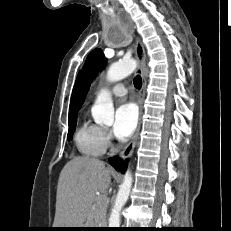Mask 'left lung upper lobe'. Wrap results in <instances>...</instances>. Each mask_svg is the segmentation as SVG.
Returning <instances> with one entry per match:
<instances>
[{
  "label": "left lung upper lobe",
  "mask_w": 231,
  "mask_h": 231,
  "mask_svg": "<svg viewBox=\"0 0 231 231\" xmlns=\"http://www.w3.org/2000/svg\"><path fill=\"white\" fill-rule=\"evenodd\" d=\"M105 65V56L101 49L93 50L87 57L83 67L82 81L80 86L79 102L82 104L85 100L90 84L96 74Z\"/></svg>",
  "instance_id": "1"
}]
</instances>
